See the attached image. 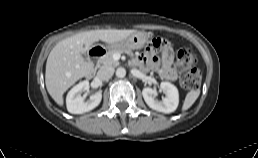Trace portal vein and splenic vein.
Listing matches in <instances>:
<instances>
[{"mask_svg": "<svg viewBox=\"0 0 258 158\" xmlns=\"http://www.w3.org/2000/svg\"><path fill=\"white\" fill-rule=\"evenodd\" d=\"M117 55V58L119 59L120 58V55L119 54H116Z\"/></svg>", "mask_w": 258, "mask_h": 158, "instance_id": "18ae733b", "label": "portal vein and splenic vein"}]
</instances>
